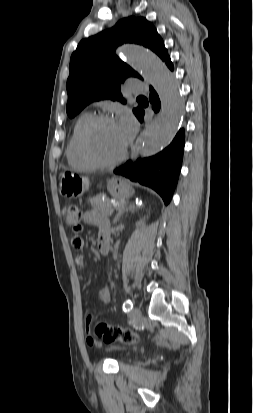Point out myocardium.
I'll return each mask as SVG.
<instances>
[{"instance_id":"obj_1","label":"myocardium","mask_w":253,"mask_h":413,"mask_svg":"<svg viewBox=\"0 0 253 413\" xmlns=\"http://www.w3.org/2000/svg\"><path fill=\"white\" fill-rule=\"evenodd\" d=\"M103 122H115V119L106 114H98V115H94L90 117V119L84 124L80 132V138H79L80 148L85 158L95 167H102V168L114 167L118 165L119 163H121L126 158L127 156L126 145L123 151L121 152V154L112 160H103V159L98 158L94 154L90 146V134L92 130L98 124L103 123Z\"/></svg>"}]
</instances>
